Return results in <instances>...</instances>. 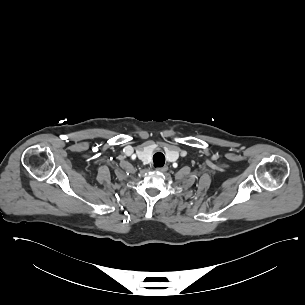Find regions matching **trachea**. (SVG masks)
Here are the masks:
<instances>
[{"label":"trachea","instance_id":"3493384b","mask_svg":"<svg viewBox=\"0 0 305 305\" xmlns=\"http://www.w3.org/2000/svg\"><path fill=\"white\" fill-rule=\"evenodd\" d=\"M165 163V156L161 152H157L153 155V166L163 167Z\"/></svg>","mask_w":305,"mask_h":305}]
</instances>
